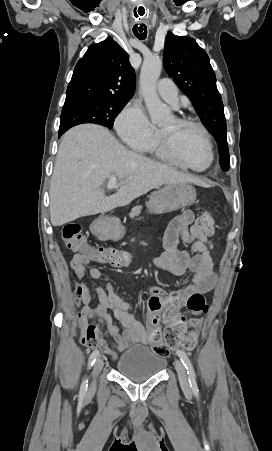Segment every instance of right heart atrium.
Listing matches in <instances>:
<instances>
[{
    "mask_svg": "<svg viewBox=\"0 0 272 451\" xmlns=\"http://www.w3.org/2000/svg\"><path fill=\"white\" fill-rule=\"evenodd\" d=\"M116 125L124 140L137 148L150 144L157 135V129L145 110L134 103L124 108L117 118Z\"/></svg>",
    "mask_w": 272,
    "mask_h": 451,
    "instance_id": "1",
    "label": "right heart atrium"
}]
</instances>
